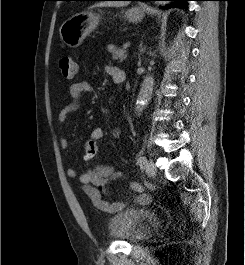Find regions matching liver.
<instances>
[{"mask_svg": "<svg viewBox=\"0 0 245 265\" xmlns=\"http://www.w3.org/2000/svg\"><path fill=\"white\" fill-rule=\"evenodd\" d=\"M125 5H127V3H124V2H103V3L96 4V6H101V7H104V6L120 7V6H125Z\"/></svg>", "mask_w": 245, "mask_h": 265, "instance_id": "1", "label": "liver"}]
</instances>
